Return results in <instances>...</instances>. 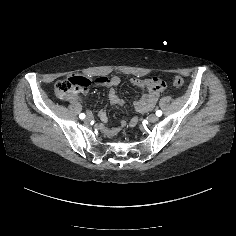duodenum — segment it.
I'll list each match as a JSON object with an SVG mask.
<instances>
[{
	"mask_svg": "<svg viewBox=\"0 0 236 236\" xmlns=\"http://www.w3.org/2000/svg\"><path fill=\"white\" fill-rule=\"evenodd\" d=\"M110 85H113L112 83H109ZM155 85L156 83H150V84H147V83H142V86H148L149 87V90H150V93L146 96V98H144L142 101L138 102L136 104V107L137 109H140L142 107H144L146 105V103L152 98L155 96V93H156V88H155ZM122 126L118 127L116 129V131H119L121 129Z\"/></svg>",
	"mask_w": 236,
	"mask_h": 236,
	"instance_id": "duodenum-1",
	"label": "duodenum"
}]
</instances>
